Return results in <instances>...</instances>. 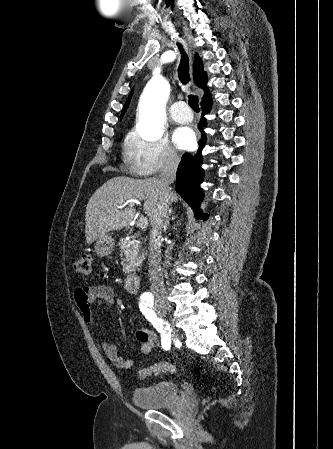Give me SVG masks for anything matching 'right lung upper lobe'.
Masks as SVG:
<instances>
[{
  "label": "right lung upper lobe",
  "instance_id": "1",
  "mask_svg": "<svg viewBox=\"0 0 333 449\" xmlns=\"http://www.w3.org/2000/svg\"><path fill=\"white\" fill-rule=\"evenodd\" d=\"M194 81L196 83L197 86H199L200 88H202L205 91V95L209 94L208 88H207V75L206 72L203 70V64H202V60L199 58V55L196 53L195 54V58H194ZM132 92L130 93L126 104L122 110V114H121V118L124 115L125 111L127 110L128 104L130 102V98H131Z\"/></svg>",
  "mask_w": 333,
  "mask_h": 449
}]
</instances>
